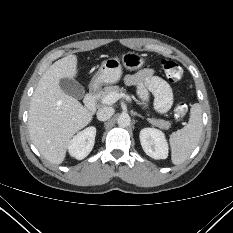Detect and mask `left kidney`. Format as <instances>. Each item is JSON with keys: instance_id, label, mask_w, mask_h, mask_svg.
Segmentation results:
<instances>
[{"instance_id": "1", "label": "left kidney", "mask_w": 233, "mask_h": 233, "mask_svg": "<svg viewBox=\"0 0 233 233\" xmlns=\"http://www.w3.org/2000/svg\"><path fill=\"white\" fill-rule=\"evenodd\" d=\"M140 142L144 152L153 159L168 157V143L162 131L155 128H144L140 131Z\"/></svg>"}]
</instances>
